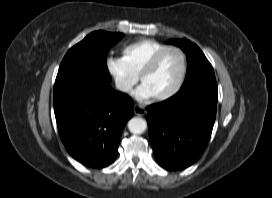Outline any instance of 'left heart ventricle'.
<instances>
[{
    "instance_id": "left-heart-ventricle-1",
    "label": "left heart ventricle",
    "mask_w": 272,
    "mask_h": 198,
    "mask_svg": "<svg viewBox=\"0 0 272 198\" xmlns=\"http://www.w3.org/2000/svg\"><path fill=\"white\" fill-rule=\"evenodd\" d=\"M182 71V59L178 52L166 53L157 67L142 80L153 97L168 93L174 88Z\"/></svg>"
}]
</instances>
